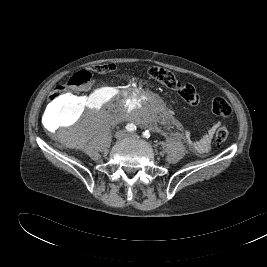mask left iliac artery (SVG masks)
I'll use <instances>...</instances> for the list:
<instances>
[{
    "mask_svg": "<svg viewBox=\"0 0 267 267\" xmlns=\"http://www.w3.org/2000/svg\"><path fill=\"white\" fill-rule=\"evenodd\" d=\"M142 135L144 138H147V139L151 137V134L148 130L143 131Z\"/></svg>",
    "mask_w": 267,
    "mask_h": 267,
    "instance_id": "left-iliac-artery-1",
    "label": "left iliac artery"
}]
</instances>
